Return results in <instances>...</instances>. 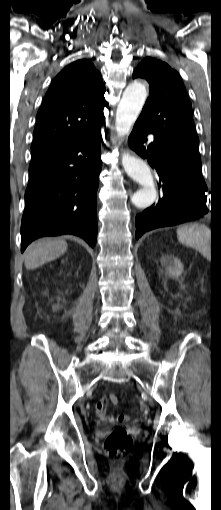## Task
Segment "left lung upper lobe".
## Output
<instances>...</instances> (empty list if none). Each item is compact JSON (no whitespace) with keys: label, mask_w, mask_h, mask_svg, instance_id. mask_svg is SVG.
<instances>
[{"label":"left lung upper lobe","mask_w":221,"mask_h":510,"mask_svg":"<svg viewBox=\"0 0 221 510\" xmlns=\"http://www.w3.org/2000/svg\"><path fill=\"white\" fill-rule=\"evenodd\" d=\"M144 78L150 94L139 116L161 140L200 158L191 103L179 74L166 63L147 57L133 78Z\"/></svg>","instance_id":"5c2ea615"}]
</instances>
